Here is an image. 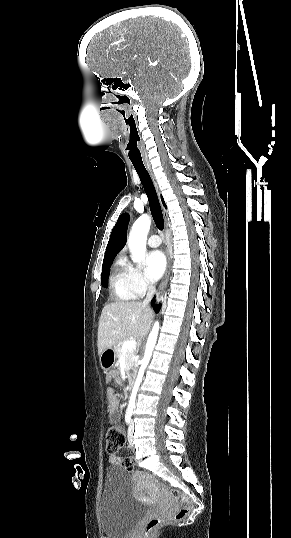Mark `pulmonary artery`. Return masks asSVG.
<instances>
[{"mask_svg": "<svg viewBox=\"0 0 291 538\" xmlns=\"http://www.w3.org/2000/svg\"><path fill=\"white\" fill-rule=\"evenodd\" d=\"M161 243H162V240L158 235H152L147 240V244L151 248H156V247L160 246Z\"/></svg>", "mask_w": 291, "mask_h": 538, "instance_id": "pulmonary-artery-1", "label": "pulmonary artery"}]
</instances>
